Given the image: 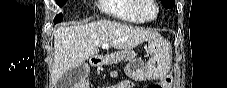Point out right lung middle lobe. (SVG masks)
I'll return each instance as SVG.
<instances>
[{"instance_id":"obj_1","label":"right lung middle lobe","mask_w":227,"mask_h":88,"mask_svg":"<svg viewBox=\"0 0 227 88\" xmlns=\"http://www.w3.org/2000/svg\"><path fill=\"white\" fill-rule=\"evenodd\" d=\"M65 2H66V0L65 1L60 0V1H57V4L59 6H62ZM61 21H62V14L60 13V14L56 15V17L54 19V23L61 22Z\"/></svg>"}]
</instances>
